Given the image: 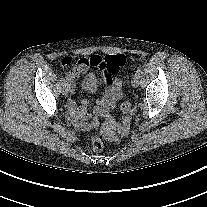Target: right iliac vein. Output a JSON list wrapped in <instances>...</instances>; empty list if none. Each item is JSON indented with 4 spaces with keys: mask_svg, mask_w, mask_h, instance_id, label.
I'll use <instances>...</instances> for the list:
<instances>
[{
    "mask_svg": "<svg viewBox=\"0 0 207 207\" xmlns=\"http://www.w3.org/2000/svg\"><path fill=\"white\" fill-rule=\"evenodd\" d=\"M69 91H70V87L64 85L63 88H62V94H63L64 96H67V95L69 94Z\"/></svg>",
    "mask_w": 207,
    "mask_h": 207,
    "instance_id": "right-iliac-vein-1",
    "label": "right iliac vein"
}]
</instances>
